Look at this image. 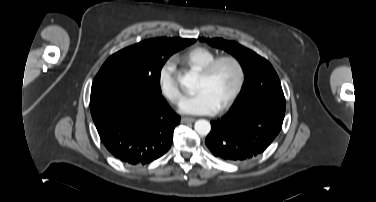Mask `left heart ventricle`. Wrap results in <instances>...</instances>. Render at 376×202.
<instances>
[{
    "instance_id": "obj_1",
    "label": "left heart ventricle",
    "mask_w": 376,
    "mask_h": 202,
    "mask_svg": "<svg viewBox=\"0 0 376 202\" xmlns=\"http://www.w3.org/2000/svg\"><path fill=\"white\" fill-rule=\"evenodd\" d=\"M237 82L235 67L224 62L220 64L209 78L199 75L197 89H208L219 106H221L233 91Z\"/></svg>"
}]
</instances>
